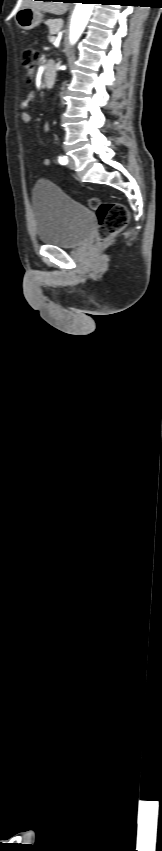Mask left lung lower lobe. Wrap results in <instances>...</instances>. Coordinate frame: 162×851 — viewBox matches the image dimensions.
Masks as SVG:
<instances>
[{
	"label": "left lung lower lobe",
	"instance_id": "obj_1",
	"mask_svg": "<svg viewBox=\"0 0 162 851\" xmlns=\"http://www.w3.org/2000/svg\"><path fill=\"white\" fill-rule=\"evenodd\" d=\"M87 1H90V2H92V3H93V2H94V1H96V0H87Z\"/></svg>",
	"mask_w": 162,
	"mask_h": 851
}]
</instances>
